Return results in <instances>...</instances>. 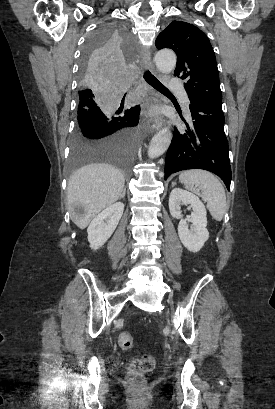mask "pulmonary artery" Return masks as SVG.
<instances>
[{
	"label": "pulmonary artery",
	"instance_id": "pulmonary-artery-1",
	"mask_svg": "<svg viewBox=\"0 0 275 409\" xmlns=\"http://www.w3.org/2000/svg\"><path fill=\"white\" fill-rule=\"evenodd\" d=\"M167 85H168L169 88H178L179 85H180V82H179L178 79H169L168 82H167ZM181 100H182V104H183L186 112L189 113L190 101H189V98H188V95H187L186 92H184L181 95Z\"/></svg>",
	"mask_w": 275,
	"mask_h": 409
}]
</instances>
